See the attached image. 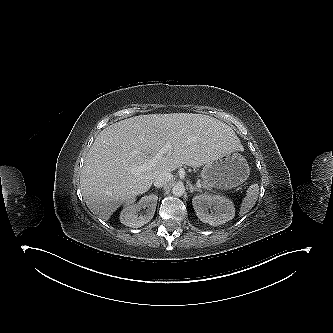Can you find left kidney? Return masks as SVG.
Masks as SVG:
<instances>
[{"mask_svg":"<svg viewBox=\"0 0 333 333\" xmlns=\"http://www.w3.org/2000/svg\"><path fill=\"white\" fill-rule=\"evenodd\" d=\"M192 204L197 217L212 226L226 223L235 216L233 202L224 196L201 194L193 197Z\"/></svg>","mask_w":333,"mask_h":333,"instance_id":"obj_1","label":"left kidney"}]
</instances>
